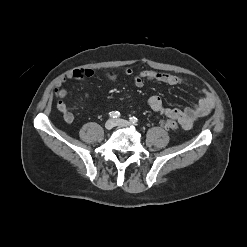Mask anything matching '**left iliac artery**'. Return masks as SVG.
Here are the masks:
<instances>
[{"mask_svg":"<svg viewBox=\"0 0 247 247\" xmlns=\"http://www.w3.org/2000/svg\"><path fill=\"white\" fill-rule=\"evenodd\" d=\"M130 119V121L132 122V123H137L138 122V119L136 118V117H130L129 118Z\"/></svg>","mask_w":247,"mask_h":247,"instance_id":"1","label":"left iliac artery"}]
</instances>
